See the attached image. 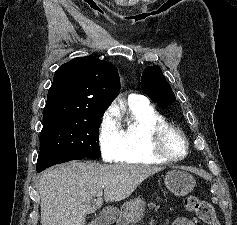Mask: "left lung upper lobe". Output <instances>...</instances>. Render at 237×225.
Returning a JSON list of instances; mask_svg holds the SVG:
<instances>
[{
	"label": "left lung upper lobe",
	"instance_id": "obj_1",
	"mask_svg": "<svg viewBox=\"0 0 237 225\" xmlns=\"http://www.w3.org/2000/svg\"><path fill=\"white\" fill-rule=\"evenodd\" d=\"M141 87L151 100L162 106H168L176 100L159 66L145 68L142 74Z\"/></svg>",
	"mask_w": 237,
	"mask_h": 225
}]
</instances>
